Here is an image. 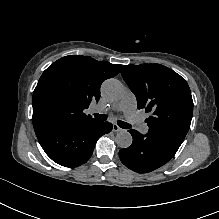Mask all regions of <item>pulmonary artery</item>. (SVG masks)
<instances>
[{
    "instance_id": "pulmonary-artery-1",
    "label": "pulmonary artery",
    "mask_w": 219,
    "mask_h": 219,
    "mask_svg": "<svg viewBox=\"0 0 219 219\" xmlns=\"http://www.w3.org/2000/svg\"><path fill=\"white\" fill-rule=\"evenodd\" d=\"M135 109L136 97L131 90L127 89L117 105V111L124 113L135 130H140L143 127V122L139 119ZM92 112H99V109L93 108Z\"/></svg>"
}]
</instances>
